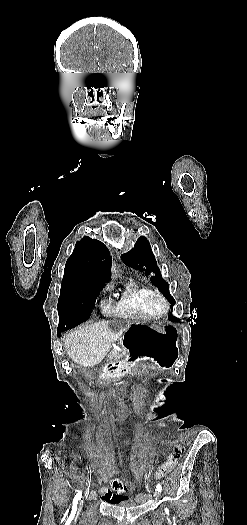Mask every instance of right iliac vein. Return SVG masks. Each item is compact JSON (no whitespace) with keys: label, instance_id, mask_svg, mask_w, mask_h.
<instances>
[{"label":"right iliac vein","instance_id":"63e3f726","mask_svg":"<svg viewBox=\"0 0 247 525\" xmlns=\"http://www.w3.org/2000/svg\"><path fill=\"white\" fill-rule=\"evenodd\" d=\"M82 505H83V500H82V501H80V504H79V509H80V508L82 507Z\"/></svg>","mask_w":247,"mask_h":525}]
</instances>
